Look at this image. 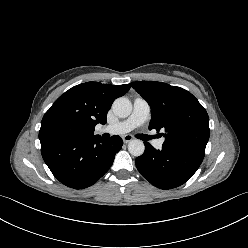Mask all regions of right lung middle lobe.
<instances>
[{"label":"right lung middle lobe","instance_id":"right-lung-middle-lobe-1","mask_svg":"<svg viewBox=\"0 0 248 248\" xmlns=\"http://www.w3.org/2000/svg\"><path fill=\"white\" fill-rule=\"evenodd\" d=\"M41 135L44 139L73 138L75 132L71 124L59 120L49 124Z\"/></svg>","mask_w":248,"mask_h":248}]
</instances>
